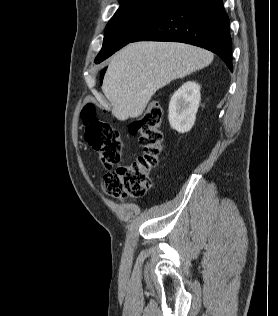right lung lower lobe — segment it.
Listing matches in <instances>:
<instances>
[{
    "instance_id": "right-lung-lower-lobe-1",
    "label": "right lung lower lobe",
    "mask_w": 278,
    "mask_h": 316,
    "mask_svg": "<svg viewBox=\"0 0 278 316\" xmlns=\"http://www.w3.org/2000/svg\"><path fill=\"white\" fill-rule=\"evenodd\" d=\"M176 41L216 53L232 71L229 18L222 0H168L131 42Z\"/></svg>"
}]
</instances>
